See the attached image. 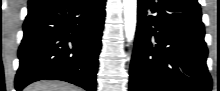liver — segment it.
Returning a JSON list of instances; mask_svg holds the SVG:
<instances>
[{
  "label": "liver",
  "mask_w": 220,
  "mask_h": 91,
  "mask_svg": "<svg viewBox=\"0 0 220 91\" xmlns=\"http://www.w3.org/2000/svg\"><path fill=\"white\" fill-rule=\"evenodd\" d=\"M24 91H81V89L65 82L41 81L29 85Z\"/></svg>",
  "instance_id": "obj_1"
}]
</instances>
